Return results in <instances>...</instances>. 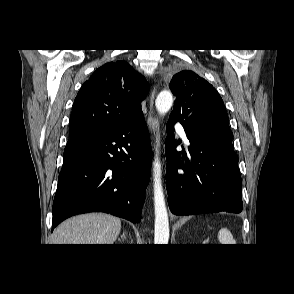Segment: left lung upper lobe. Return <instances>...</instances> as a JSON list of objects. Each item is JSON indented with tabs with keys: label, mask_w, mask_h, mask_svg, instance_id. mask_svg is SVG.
<instances>
[{
	"label": "left lung upper lobe",
	"mask_w": 294,
	"mask_h": 294,
	"mask_svg": "<svg viewBox=\"0 0 294 294\" xmlns=\"http://www.w3.org/2000/svg\"><path fill=\"white\" fill-rule=\"evenodd\" d=\"M169 87L176 97L169 119L179 121L186 133L233 137L223 100L205 79L183 70L172 77Z\"/></svg>",
	"instance_id": "left-lung-upper-lobe-1"
}]
</instances>
